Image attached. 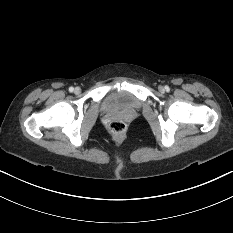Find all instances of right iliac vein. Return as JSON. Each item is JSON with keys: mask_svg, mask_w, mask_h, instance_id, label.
<instances>
[{"mask_svg": "<svg viewBox=\"0 0 233 233\" xmlns=\"http://www.w3.org/2000/svg\"><path fill=\"white\" fill-rule=\"evenodd\" d=\"M74 92H75V94H79L81 92V89L79 87H76Z\"/></svg>", "mask_w": 233, "mask_h": 233, "instance_id": "obj_1", "label": "right iliac vein"}]
</instances>
